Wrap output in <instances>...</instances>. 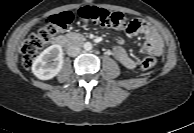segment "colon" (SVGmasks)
I'll return each mask as SVG.
<instances>
[{"label":"colon","mask_w":194,"mask_h":133,"mask_svg":"<svg viewBox=\"0 0 194 133\" xmlns=\"http://www.w3.org/2000/svg\"><path fill=\"white\" fill-rule=\"evenodd\" d=\"M78 16L101 26L126 29L129 23L126 16L121 12H113L96 6H84L77 12ZM73 15L71 12H62L48 17L43 25L30 34L21 47L22 61L25 67H31L34 60L43 48L53 39L57 32L71 23ZM156 64L153 57L144 59L139 68L143 71L152 69Z\"/></svg>","instance_id":"obj_1"}]
</instances>
